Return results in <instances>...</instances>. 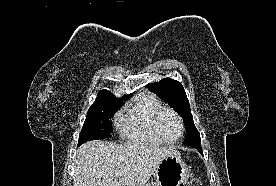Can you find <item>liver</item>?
<instances>
[{"label": "liver", "mask_w": 276, "mask_h": 186, "mask_svg": "<svg viewBox=\"0 0 276 186\" xmlns=\"http://www.w3.org/2000/svg\"><path fill=\"white\" fill-rule=\"evenodd\" d=\"M179 153L174 147L147 143L113 144L101 140L79 147L75 159L74 186H143L163 159ZM123 172L120 181L115 174Z\"/></svg>", "instance_id": "1"}]
</instances>
